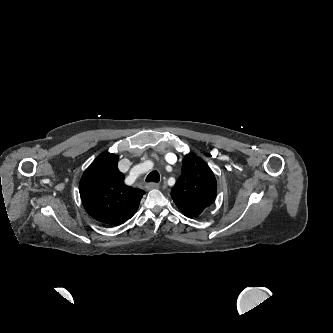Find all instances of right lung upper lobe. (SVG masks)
Instances as JSON below:
<instances>
[{"instance_id":"1","label":"right lung upper lobe","mask_w":333,"mask_h":333,"mask_svg":"<svg viewBox=\"0 0 333 333\" xmlns=\"http://www.w3.org/2000/svg\"><path fill=\"white\" fill-rule=\"evenodd\" d=\"M117 163L115 154L101 153L86 169L79 184L87 213L99 222L116 226L135 214L145 193L124 184Z\"/></svg>"}]
</instances>
